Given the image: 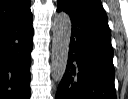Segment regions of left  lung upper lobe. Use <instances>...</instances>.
<instances>
[{
  "instance_id": "left-lung-upper-lobe-1",
  "label": "left lung upper lobe",
  "mask_w": 128,
  "mask_h": 99,
  "mask_svg": "<svg viewBox=\"0 0 128 99\" xmlns=\"http://www.w3.org/2000/svg\"><path fill=\"white\" fill-rule=\"evenodd\" d=\"M67 1L74 4L77 8L94 11L106 16V13L103 9L100 0H67Z\"/></svg>"
}]
</instances>
